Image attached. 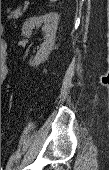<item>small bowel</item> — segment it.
<instances>
[{"label":"small bowel","instance_id":"1","mask_svg":"<svg viewBox=\"0 0 109 170\" xmlns=\"http://www.w3.org/2000/svg\"><path fill=\"white\" fill-rule=\"evenodd\" d=\"M1 46L5 48L6 47V42L2 41ZM6 73H7V70H6V68H4V72H2V74H1V79L2 80L5 79Z\"/></svg>","mask_w":109,"mask_h":170}]
</instances>
